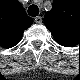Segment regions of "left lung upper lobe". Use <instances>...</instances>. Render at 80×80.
Returning <instances> with one entry per match:
<instances>
[{"label":"left lung upper lobe","mask_w":80,"mask_h":80,"mask_svg":"<svg viewBox=\"0 0 80 80\" xmlns=\"http://www.w3.org/2000/svg\"><path fill=\"white\" fill-rule=\"evenodd\" d=\"M69 0H54L52 10L44 16V22L55 40L60 44H75L74 31L79 26L74 24V17L69 9Z\"/></svg>","instance_id":"left-lung-upper-lobe-1"}]
</instances>
